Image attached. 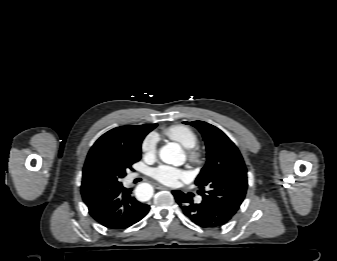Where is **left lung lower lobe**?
Instances as JSON below:
<instances>
[{"label": "left lung lower lobe", "instance_id": "1", "mask_svg": "<svg viewBox=\"0 0 337 261\" xmlns=\"http://www.w3.org/2000/svg\"><path fill=\"white\" fill-rule=\"evenodd\" d=\"M185 216L202 228H218L232 219V215L211 201L194 204L181 191L172 192Z\"/></svg>", "mask_w": 337, "mask_h": 261}]
</instances>
